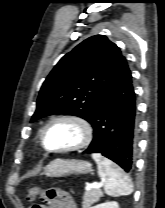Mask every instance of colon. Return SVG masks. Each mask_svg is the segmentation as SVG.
<instances>
[{"instance_id": "colon-1", "label": "colon", "mask_w": 165, "mask_h": 208, "mask_svg": "<svg viewBox=\"0 0 165 208\" xmlns=\"http://www.w3.org/2000/svg\"><path fill=\"white\" fill-rule=\"evenodd\" d=\"M41 193V189L39 187H30L27 190V199L29 201H33L36 199L37 196H39Z\"/></svg>"}]
</instances>
